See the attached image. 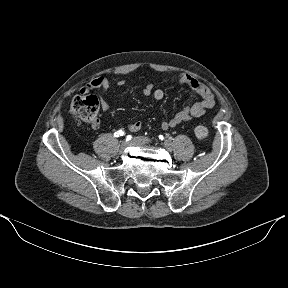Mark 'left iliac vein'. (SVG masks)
Segmentation results:
<instances>
[{"mask_svg": "<svg viewBox=\"0 0 288 288\" xmlns=\"http://www.w3.org/2000/svg\"><path fill=\"white\" fill-rule=\"evenodd\" d=\"M164 145L167 150L170 151L172 149V143L170 141H165Z\"/></svg>", "mask_w": 288, "mask_h": 288, "instance_id": "obj_1", "label": "left iliac vein"}]
</instances>
